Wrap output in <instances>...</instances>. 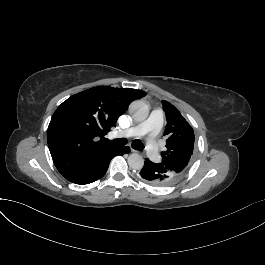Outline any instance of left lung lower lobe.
Returning <instances> with one entry per match:
<instances>
[{
  "instance_id": "left-lung-lower-lobe-1",
  "label": "left lung lower lobe",
  "mask_w": 265,
  "mask_h": 265,
  "mask_svg": "<svg viewBox=\"0 0 265 265\" xmlns=\"http://www.w3.org/2000/svg\"><path fill=\"white\" fill-rule=\"evenodd\" d=\"M140 176L145 182L155 186H166L176 182L169 170L162 164L154 163L148 158L145 159Z\"/></svg>"
}]
</instances>
